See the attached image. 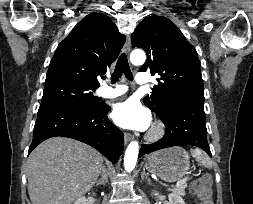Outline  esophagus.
I'll return each instance as SVG.
<instances>
[{"label": "esophagus", "instance_id": "esophagus-1", "mask_svg": "<svg viewBox=\"0 0 253 204\" xmlns=\"http://www.w3.org/2000/svg\"><path fill=\"white\" fill-rule=\"evenodd\" d=\"M130 48H131V41H130V37L128 36L124 44L123 51L126 53H129ZM132 138H133L132 134L127 133V132L124 134V140L126 143L130 142Z\"/></svg>", "mask_w": 253, "mask_h": 204}]
</instances>
